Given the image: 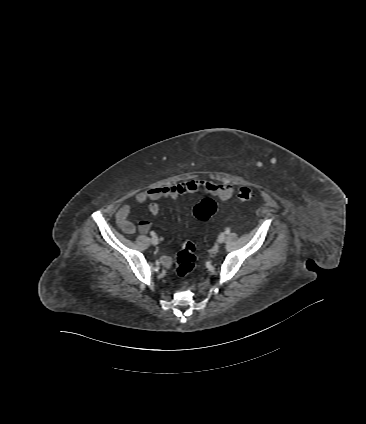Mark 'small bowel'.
<instances>
[{"mask_svg": "<svg viewBox=\"0 0 366 424\" xmlns=\"http://www.w3.org/2000/svg\"><path fill=\"white\" fill-rule=\"evenodd\" d=\"M199 191L215 196L222 201H227L234 195V188L232 185L226 183H215L203 179H190L174 185H165L147 189L137 194L131 203L122 206L118 210L116 214L117 225L122 232L132 235L136 231V227L130 220L129 215L134 206L149 202L148 211L152 216H156L160 210L158 203L159 200L167 197L176 199L179 196ZM150 228L151 224L148 221H141L138 224V230L141 233H147ZM161 263L164 267H169L172 263V259L169 256H164L161 259Z\"/></svg>", "mask_w": 366, "mask_h": 424, "instance_id": "1", "label": "small bowel"}]
</instances>
